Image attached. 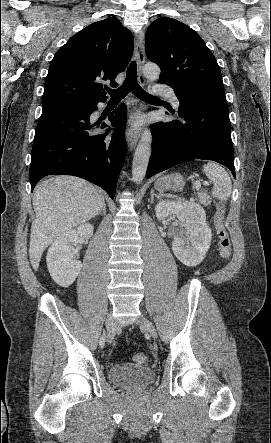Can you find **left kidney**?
Listing matches in <instances>:
<instances>
[{"instance_id":"left-kidney-1","label":"left kidney","mask_w":271,"mask_h":443,"mask_svg":"<svg viewBox=\"0 0 271 443\" xmlns=\"http://www.w3.org/2000/svg\"><path fill=\"white\" fill-rule=\"evenodd\" d=\"M156 218L165 220L168 216H177L187 229V237H174L172 249L177 259L184 265L194 267L203 261L212 239L209 225L206 223V214L199 204L190 202H159L155 206Z\"/></svg>"}]
</instances>
